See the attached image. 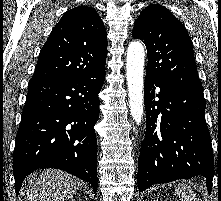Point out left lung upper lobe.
I'll list each match as a JSON object with an SVG mask.
<instances>
[{"label": "left lung upper lobe", "mask_w": 221, "mask_h": 201, "mask_svg": "<svg viewBox=\"0 0 221 201\" xmlns=\"http://www.w3.org/2000/svg\"><path fill=\"white\" fill-rule=\"evenodd\" d=\"M132 36L146 45V75L169 86L203 92L192 41L184 25L166 7H146L134 22Z\"/></svg>", "instance_id": "5c2ea615"}]
</instances>
